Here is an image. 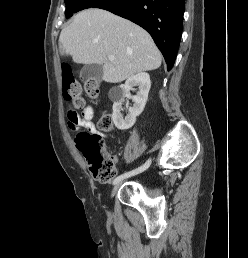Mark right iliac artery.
Here are the masks:
<instances>
[{
  "instance_id": "82829eb1",
  "label": "right iliac artery",
  "mask_w": 248,
  "mask_h": 258,
  "mask_svg": "<svg viewBox=\"0 0 248 258\" xmlns=\"http://www.w3.org/2000/svg\"><path fill=\"white\" fill-rule=\"evenodd\" d=\"M150 164H151V159H148L146 161V163L143 164L142 166H140V167H138V168H136V169H134V170H132L130 172L124 173V174L119 175L118 177H116L114 179L113 184H117L118 182H120L121 180H123V179H125L127 177H130V176H133L135 174L143 172L144 170H146L150 166Z\"/></svg>"
}]
</instances>
